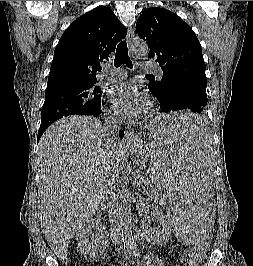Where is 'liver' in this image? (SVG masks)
I'll return each instance as SVG.
<instances>
[{
    "label": "liver",
    "mask_w": 253,
    "mask_h": 266,
    "mask_svg": "<svg viewBox=\"0 0 253 266\" xmlns=\"http://www.w3.org/2000/svg\"><path fill=\"white\" fill-rule=\"evenodd\" d=\"M129 146L111 143L90 116L52 124L39 141V220L45 238L64 259L69 240L98 210L108 174L117 171Z\"/></svg>",
    "instance_id": "obj_1"
}]
</instances>
